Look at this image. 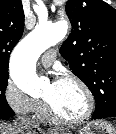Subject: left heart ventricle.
Masks as SVG:
<instances>
[{"instance_id": "obj_1", "label": "left heart ventricle", "mask_w": 116, "mask_h": 134, "mask_svg": "<svg viewBox=\"0 0 116 134\" xmlns=\"http://www.w3.org/2000/svg\"><path fill=\"white\" fill-rule=\"evenodd\" d=\"M54 109L67 118L81 116L86 110V98L81 88L69 81L49 84L43 94Z\"/></svg>"}]
</instances>
